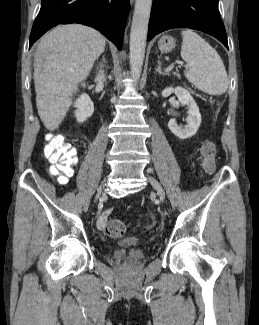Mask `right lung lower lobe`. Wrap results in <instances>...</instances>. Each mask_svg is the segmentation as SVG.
Returning a JSON list of instances; mask_svg holds the SVG:
<instances>
[{"label":"right lung lower lobe","mask_w":259,"mask_h":325,"mask_svg":"<svg viewBox=\"0 0 259 325\" xmlns=\"http://www.w3.org/2000/svg\"><path fill=\"white\" fill-rule=\"evenodd\" d=\"M129 7V0H42L29 48L50 28L79 23L99 30L121 50Z\"/></svg>","instance_id":"98d812e1"}]
</instances>
